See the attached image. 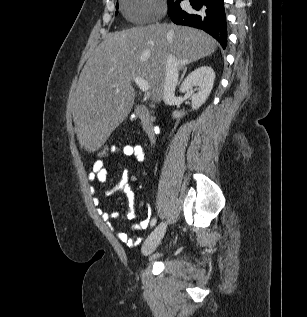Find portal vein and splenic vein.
<instances>
[{
  "label": "portal vein and splenic vein",
  "instance_id": "18ae733b",
  "mask_svg": "<svg viewBox=\"0 0 307 317\" xmlns=\"http://www.w3.org/2000/svg\"><path fill=\"white\" fill-rule=\"evenodd\" d=\"M133 81L140 88L142 92L148 93L149 83L147 80L140 77H135L133 78Z\"/></svg>",
  "mask_w": 307,
  "mask_h": 317
}]
</instances>
